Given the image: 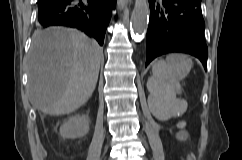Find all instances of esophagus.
Returning <instances> with one entry per match:
<instances>
[{"instance_id": "obj_1", "label": "esophagus", "mask_w": 242, "mask_h": 160, "mask_svg": "<svg viewBox=\"0 0 242 160\" xmlns=\"http://www.w3.org/2000/svg\"><path fill=\"white\" fill-rule=\"evenodd\" d=\"M130 2V0H117V7L119 10L125 8V6Z\"/></svg>"}]
</instances>
